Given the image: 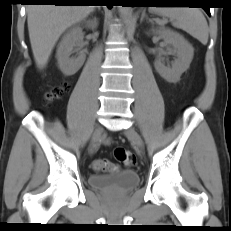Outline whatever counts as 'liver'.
<instances>
[{
	"instance_id": "1",
	"label": "liver",
	"mask_w": 231,
	"mask_h": 231,
	"mask_svg": "<svg viewBox=\"0 0 231 231\" xmlns=\"http://www.w3.org/2000/svg\"><path fill=\"white\" fill-rule=\"evenodd\" d=\"M95 6L30 5L27 8L28 31L38 68L48 63L52 50L66 29L85 19Z\"/></svg>"
}]
</instances>
